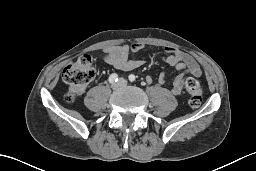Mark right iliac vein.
<instances>
[{
    "mask_svg": "<svg viewBox=\"0 0 256 171\" xmlns=\"http://www.w3.org/2000/svg\"><path fill=\"white\" fill-rule=\"evenodd\" d=\"M120 86H121V85H120L119 82H118V83H113V84H112V89H113V90H117V89L120 88Z\"/></svg>",
    "mask_w": 256,
    "mask_h": 171,
    "instance_id": "obj_1",
    "label": "right iliac vein"
}]
</instances>
